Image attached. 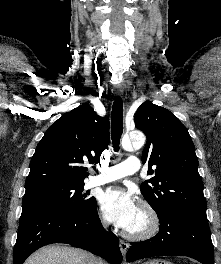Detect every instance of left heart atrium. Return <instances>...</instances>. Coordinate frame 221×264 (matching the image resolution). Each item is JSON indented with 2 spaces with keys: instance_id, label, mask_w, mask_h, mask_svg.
<instances>
[{
  "instance_id": "left-heart-atrium-1",
  "label": "left heart atrium",
  "mask_w": 221,
  "mask_h": 264,
  "mask_svg": "<svg viewBox=\"0 0 221 264\" xmlns=\"http://www.w3.org/2000/svg\"><path fill=\"white\" fill-rule=\"evenodd\" d=\"M99 203L106 219L126 230L133 224L139 210L133 196L121 189L104 191Z\"/></svg>"
}]
</instances>
